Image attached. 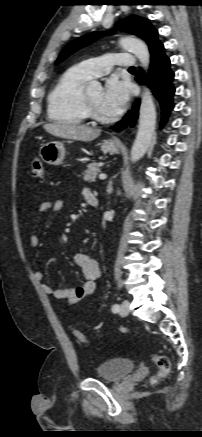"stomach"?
I'll return each instance as SVG.
<instances>
[{"mask_svg": "<svg viewBox=\"0 0 202 437\" xmlns=\"http://www.w3.org/2000/svg\"><path fill=\"white\" fill-rule=\"evenodd\" d=\"M101 150L104 153L118 154L120 151L119 144L113 139L105 140L101 144ZM66 150L62 142H48L43 144L39 151V156L43 162L50 165H60L65 158Z\"/></svg>", "mask_w": 202, "mask_h": 437, "instance_id": "1", "label": "stomach"}]
</instances>
